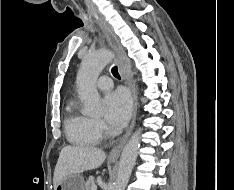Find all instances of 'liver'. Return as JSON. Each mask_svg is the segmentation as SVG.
<instances>
[{
	"label": "liver",
	"instance_id": "1",
	"mask_svg": "<svg viewBox=\"0 0 234 190\" xmlns=\"http://www.w3.org/2000/svg\"><path fill=\"white\" fill-rule=\"evenodd\" d=\"M105 158L106 154L101 149L87 146H65L59 154L55 167L54 190L64 177L96 169L101 166Z\"/></svg>",
	"mask_w": 234,
	"mask_h": 190
}]
</instances>
